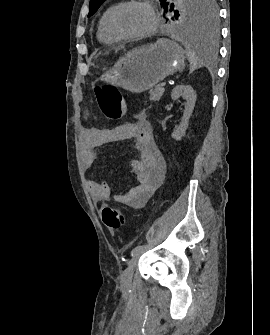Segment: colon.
<instances>
[{
  "instance_id": "5ec220e1",
  "label": "colon",
  "mask_w": 270,
  "mask_h": 335,
  "mask_svg": "<svg viewBox=\"0 0 270 335\" xmlns=\"http://www.w3.org/2000/svg\"><path fill=\"white\" fill-rule=\"evenodd\" d=\"M93 94L98 107L104 117L109 121L121 119L127 111V103L123 96L107 84H99L93 87ZM104 225L111 231L120 232L126 227V218L115 204H105L102 209Z\"/></svg>"
}]
</instances>
